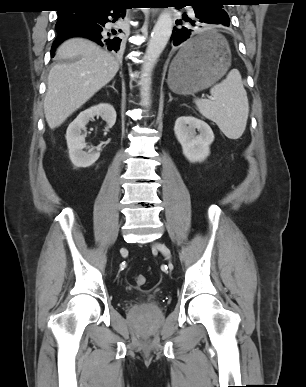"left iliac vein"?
I'll list each match as a JSON object with an SVG mask.
<instances>
[{
	"mask_svg": "<svg viewBox=\"0 0 306 387\" xmlns=\"http://www.w3.org/2000/svg\"><path fill=\"white\" fill-rule=\"evenodd\" d=\"M154 247L158 249L167 259H170V251L164 244L155 243Z\"/></svg>",
	"mask_w": 306,
	"mask_h": 387,
	"instance_id": "4c4485c4",
	"label": "left iliac vein"
}]
</instances>
